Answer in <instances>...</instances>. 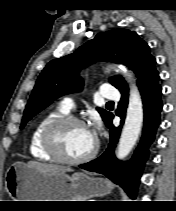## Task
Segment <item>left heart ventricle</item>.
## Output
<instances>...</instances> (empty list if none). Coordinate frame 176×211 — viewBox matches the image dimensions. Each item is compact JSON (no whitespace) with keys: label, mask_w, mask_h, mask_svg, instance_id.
<instances>
[{"label":"left heart ventricle","mask_w":176,"mask_h":211,"mask_svg":"<svg viewBox=\"0 0 176 211\" xmlns=\"http://www.w3.org/2000/svg\"><path fill=\"white\" fill-rule=\"evenodd\" d=\"M60 141L64 153L72 158L86 155L95 143L89 129L78 124L66 126L62 130Z\"/></svg>","instance_id":"left-heart-ventricle-1"}]
</instances>
